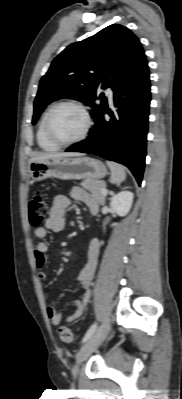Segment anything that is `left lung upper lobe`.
<instances>
[{"label":"left lung upper lobe","mask_w":182,"mask_h":399,"mask_svg":"<svg viewBox=\"0 0 182 399\" xmlns=\"http://www.w3.org/2000/svg\"><path fill=\"white\" fill-rule=\"evenodd\" d=\"M146 61L139 39L118 24L69 45L52 61L40 81L32 123L46 105L61 98L87 103L94 110V118L107 107L102 95L101 103H95L98 89L111 87L115 91Z\"/></svg>","instance_id":"left-lung-upper-lobe-1"}]
</instances>
